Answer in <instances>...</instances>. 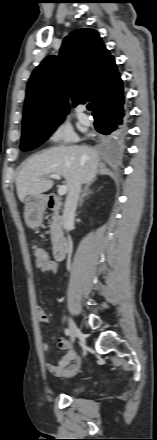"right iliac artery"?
Wrapping results in <instances>:
<instances>
[{
	"label": "right iliac artery",
	"instance_id": "obj_1",
	"mask_svg": "<svg viewBox=\"0 0 157 440\" xmlns=\"http://www.w3.org/2000/svg\"><path fill=\"white\" fill-rule=\"evenodd\" d=\"M65 334H66L67 336H70V335H71L70 330H69L68 328L65 329Z\"/></svg>",
	"mask_w": 157,
	"mask_h": 440
}]
</instances>
